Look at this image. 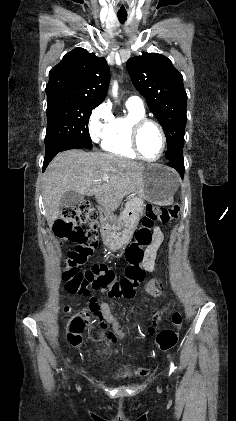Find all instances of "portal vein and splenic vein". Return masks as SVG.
<instances>
[{
  "mask_svg": "<svg viewBox=\"0 0 236 421\" xmlns=\"http://www.w3.org/2000/svg\"><path fill=\"white\" fill-rule=\"evenodd\" d=\"M108 178H109L108 174H104L102 180H108Z\"/></svg>",
  "mask_w": 236,
  "mask_h": 421,
  "instance_id": "obj_1",
  "label": "portal vein and splenic vein"
}]
</instances>
